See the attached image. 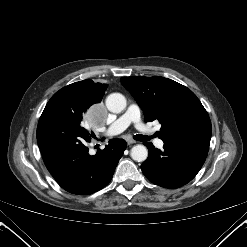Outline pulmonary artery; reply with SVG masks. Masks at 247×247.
I'll return each mask as SVG.
<instances>
[{
  "label": "pulmonary artery",
  "instance_id": "obj_1",
  "mask_svg": "<svg viewBox=\"0 0 247 247\" xmlns=\"http://www.w3.org/2000/svg\"><path fill=\"white\" fill-rule=\"evenodd\" d=\"M131 124H134L143 134L150 135L152 132V130L142 122L139 106L133 103L130 104L127 110L107 128L105 134L107 136L118 135L126 130ZM154 143L158 148H162L164 145L161 139H155Z\"/></svg>",
  "mask_w": 247,
  "mask_h": 247
}]
</instances>
